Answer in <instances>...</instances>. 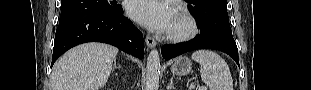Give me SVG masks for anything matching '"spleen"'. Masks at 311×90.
I'll return each instance as SVG.
<instances>
[{
  "label": "spleen",
  "instance_id": "spleen-1",
  "mask_svg": "<svg viewBox=\"0 0 311 90\" xmlns=\"http://www.w3.org/2000/svg\"><path fill=\"white\" fill-rule=\"evenodd\" d=\"M191 57L200 64L201 79L210 90H233L230 69L217 53L210 50H198Z\"/></svg>",
  "mask_w": 311,
  "mask_h": 90
}]
</instances>
